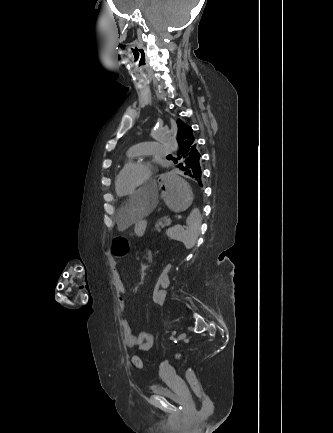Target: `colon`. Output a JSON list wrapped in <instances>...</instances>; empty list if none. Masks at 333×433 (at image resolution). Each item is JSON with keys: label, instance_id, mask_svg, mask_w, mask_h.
<instances>
[{"label": "colon", "instance_id": "1", "mask_svg": "<svg viewBox=\"0 0 333 433\" xmlns=\"http://www.w3.org/2000/svg\"><path fill=\"white\" fill-rule=\"evenodd\" d=\"M129 244H130V237L129 236H112L111 239V255L113 258H124L126 253L129 252ZM172 270V265L169 263H166L163 266V270L158 275V279L156 280V285L153 286L152 290V299L151 302L159 306V304L162 302L161 297V289L159 286L163 285V281L165 278L169 275V271ZM178 359H183V355L181 353L177 354ZM131 363L136 369H142L143 368V362L141 358L137 355L133 356L131 358ZM186 379L188 383L190 384L193 392L200 398L205 397V392L203 390V387L194 372L193 369L188 368L186 370Z\"/></svg>", "mask_w": 333, "mask_h": 433}]
</instances>
